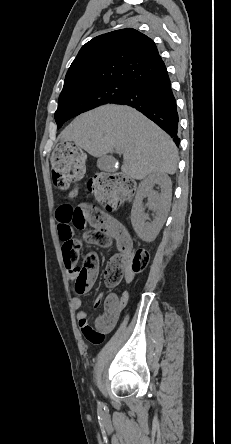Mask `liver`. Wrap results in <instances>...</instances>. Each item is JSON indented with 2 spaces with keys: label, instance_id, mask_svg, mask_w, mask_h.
<instances>
[{
  "label": "liver",
  "instance_id": "6515ba94",
  "mask_svg": "<svg viewBox=\"0 0 231 444\" xmlns=\"http://www.w3.org/2000/svg\"><path fill=\"white\" fill-rule=\"evenodd\" d=\"M62 142L102 158L123 155L122 172L137 180L154 173L174 174L178 150L172 139L143 114L128 106L107 104L76 117L60 134Z\"/></svg>",
  "mask_w": 231,
  "mask_h": 444
}]
</instances>
